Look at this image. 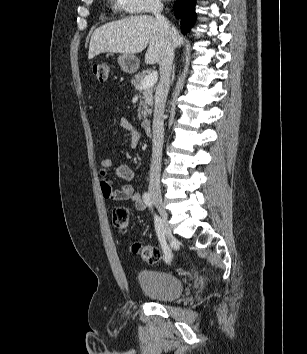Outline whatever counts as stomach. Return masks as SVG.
Instances as JSON below:
<instances>
[{
    "label": "stomach",
    "instance_id": "stomach-1",
    "mask_svg": "<svg viewBox=\"0 0 307 354\" xmlns=\"http://www.w3.org/2000/svg\"><path fill=\"white\" fill-rule=\"evenodd\" d=\"M118 64L125 73H134L139 68V59L134 55L122 54L118 57Z\"/></svg>",
    "mask_w": 307,
    "mask_h": 354
}]
</instances>
